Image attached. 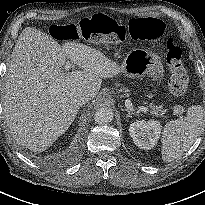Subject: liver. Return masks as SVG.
Here are the masks:
<instances>
[{
    "label": "liver",
    "mask_w": 205,
    "mask_h": 205,
    "mask_svg": "<svg viewBox=\"0 0 205 205\" xmlns=\"http://www.w3.org/2000/svg\"><path fill=\"white\" fill-rule=\"evenodd\" d=\"M66 58L83 71L64 72ZM119 72L121 67L95 48L75 42L61 46L39 29L25 28L11 55L3 96L13 138L34 152L46 150L76 118V95L93 99L102 79Z\"/></svg>",
    "instance_id": "liver-1"
}]
</instances>
